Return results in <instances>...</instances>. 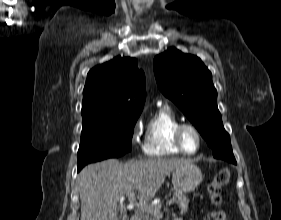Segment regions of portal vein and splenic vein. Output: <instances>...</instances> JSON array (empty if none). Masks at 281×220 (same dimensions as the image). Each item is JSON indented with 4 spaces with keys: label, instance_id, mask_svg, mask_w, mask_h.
<instances>
[{
    "label": "portal vein and splenic vein",
    "instance_id": "1",
    "mask_svg": "<svg viewBox=\"0 0 281 220\" xmlns=\"http://www.w3.org/2000/svg\"><path fill=\"white\" fill-rule=\"evenodd\" d=\"M129 199H132V201H134V197H135V193L134 192H131L129 193ZM175 198H171L166 206H171L174 202H175ZM136 206L138 208H140L142 211H145V212H148V213H154V214H158L159 216H162V213H160L158 210L155 209V207H151V206H148V205H145V204H141V203H136Z\"/></svg>",
    "mask_w": 281,
    "mask_h": 220
}]
</instances>
